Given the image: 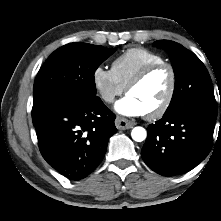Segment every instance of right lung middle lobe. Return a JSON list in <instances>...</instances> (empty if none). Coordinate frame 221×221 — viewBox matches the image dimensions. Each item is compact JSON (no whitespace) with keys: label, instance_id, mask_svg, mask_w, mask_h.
I'll return each instance as SVG.
<instances>
[{"label":"right lung middle lobe","instance_id":"1","mask_svg":"<svg viewBox=\"0 0 221 221\" xmlns=\"http://www.w3.org/2000/svg\"><path fill=\"white\" fill-rule=\"evenodd\" d=\"M115 50L87 43H70L54 51L34 82L33 123L61 102L96 99L94 73Z\"/></svg>","mask_w":221,"mask_h":221}]
</instances>
